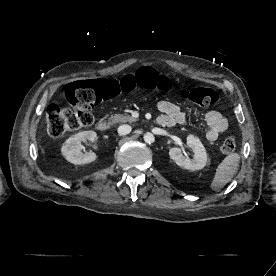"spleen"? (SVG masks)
<instances>
[{"label":"spleen","instance_id":"obj_1","mask_svg":"<svg viewBox=\"0 0 276 276\" xmlns=\"http://www.w3.org/2000/svg\"><path fill=\"white\" fill-rule=\"evenodd\" d=\"M239 161L240 155L237 153H232L226 156L218 165L214 178L210 184V188L218 191L230 182L238 171Z\"/></svg>","mask_w":276,"mask_h":276}]
</instances>
